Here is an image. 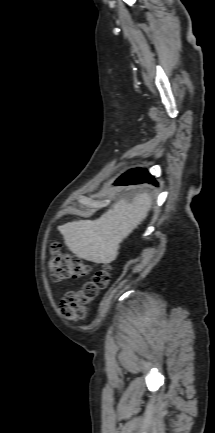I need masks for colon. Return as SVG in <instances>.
Returning a JSON list of instances; mask_svg holds the SVG:
<instances>
[{
  "instance_id": "colon-1",
  "label": "colon",
  "mask_w": 215,
  "mask_h": 433,
  "mask_svg": "<svg viewBox=\"0 0 215 433\" xmlns=\"http://www.w3.org/2000/svg\"><path fill=\"white\" fill-rule=\"evenodd\" d=\"M48 266L55 279H78L90 273V266L79 257L62 252V246L55 241L50 244ZM110 280L107 269L97 271L79 291L67 292L60 303L61 314L71 320H81L86 316L85 304L97 297Z\"/></svg>"
}]
</instances>
